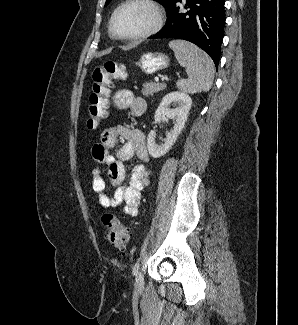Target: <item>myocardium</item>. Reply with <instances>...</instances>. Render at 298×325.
<instances>
[{"label": "myocardium", "instance_id": "obj_1", "mask_svg": "<svg viewBox=\"0 0 298 325\" xmlns=\"http://www.w3.org/2000/svg\"><path fill=\"white\" fill-rule=\"evenodd\" d=\"M129 7H141V8L146 9L151 14L152 22L143 32L136 35L134 38H132L130 40H124L116 34L115 19L121 10H123L125 8H129ZM161 25H162L161 14L155 5H153L152 3L148 2V1H144V0H131V1L125 2V3L121 4L120 6H118L117 9L112 14L110 23H109V33H110L111 37L117 42H120L123 44H133V43L142 41V40L150 37L154 33H156L160 29Z\"/></svg>", "mask_w": 298, "mask_h": 325}]
</instances>
